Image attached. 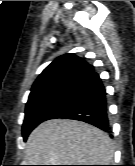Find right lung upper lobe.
Returning a JSON list of instances; mask_svg holds the SVG:
<instances>
[{
    "label": "right lung upper lobe",
    "instance_id": "cb5924a9",
    "mask_svg": "<svg viewBox=\"0 0 135 166\" xmlns=\"http://www.w3.org/2000/svg\"><path fill=\"white\" fill-rule=\"evenodd\" d=\"M92 72H94L93 66L75 54L62 55L48 65L36 79L28 102L34 101L55 89L77 82Z\"/></svg>",
    "mask_w": 135,
    "mask_h": 166
}]
</instances>
